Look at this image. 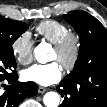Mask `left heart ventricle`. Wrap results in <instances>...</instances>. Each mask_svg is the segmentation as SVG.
Segmentation results:
<instances>
[{
  "mask_svg": "<svg viewBox=\"0 0 107 107\" xmlns=\"http://www.w3.org/2000/svg\"><path fill=\"white\" fill-rule=\"evenodd\" d=\"M52 59H54V60L55 59H57V60L59 59V55H58V53H57V51L55 49L53 50Z\"/></svg>",
  "mask_w": 107,
  "mask_h": 107,
  "instance_id": "1",
  "label": "left heart ventricle"
}]
</instances>
